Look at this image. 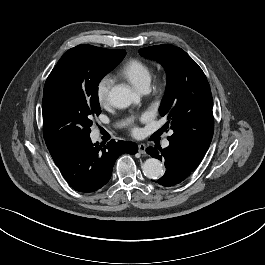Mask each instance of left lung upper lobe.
<instances>
[{
	"instance_id": "1",
	"label": "left lung upper lobe",
	"mask_w": 265,
	"mask_h": 265,
	"mask_svg": "<svg viewBox=\"0 0 265 265\" xmlns=\"http://www.w3.org/2000/svg\"><path fill=\"white\" fill-rule=\"evenodd\" d=\"M161 63L167 73V91L159 113L168 119L173 134L170 146L197 165L208 150L214 132L213 100L202 69L181 48L165 44L139 50Z\"/></svg>"
}]
</instances>
